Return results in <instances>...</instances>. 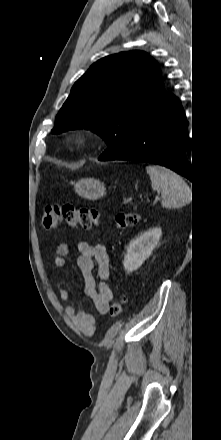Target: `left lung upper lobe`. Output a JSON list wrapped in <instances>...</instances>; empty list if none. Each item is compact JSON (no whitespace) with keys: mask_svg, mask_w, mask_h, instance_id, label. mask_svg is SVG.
Here are the masks:
<instances>
[{"mask_svg":"<svg viewBox=\"0 0 221 440\" xmlns=\"http://www.w3.org/2000/svg\"><path fill=\"white\" fill-rule=\"evenodd\" d=\"M164 91L158 64L147 53L104 57L75 82L51 132L91 129L108 145L101 159L114 160L127 150L137 121Z\"/></svg>","mask_w":221,"mask_h":440,"instance_id":"left-lung-upper-lobe-1","label":"left lung upper lobe"}]
</instances>
